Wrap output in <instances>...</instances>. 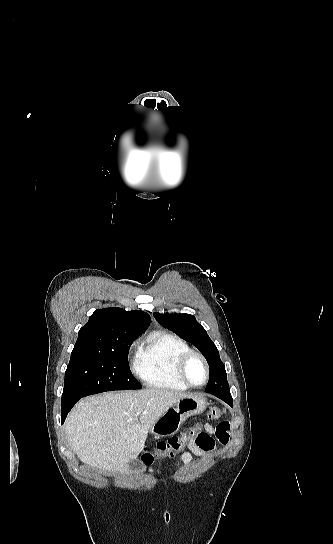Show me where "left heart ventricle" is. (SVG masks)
I'll use <instances>...</instances> for the list:
<instances>
[{"label": "left heart ventricle", "instance_id": "b2bd125f", "mask_svg": "<svg viewBox=\"0 0 333 544\" xmlns=\"http://www.w3.org/2000/svg\"><path fill=\"white\" fill-rule=\"evenodd\" d=\"M186 373L189 380L196 385L202 384L206 379L205 367L197 358L190 361Z\"/></svg>", "mask_w": 333, "mask_h": 544}]
</instances>
